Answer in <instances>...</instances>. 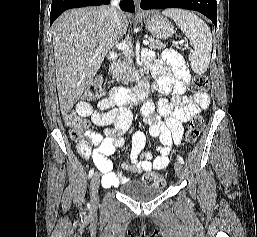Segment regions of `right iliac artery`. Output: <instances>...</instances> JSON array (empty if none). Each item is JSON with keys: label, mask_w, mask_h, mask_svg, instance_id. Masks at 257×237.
Masks as SVG:
<instances>
[{"label": "right iliac artery", "mask_w": 257, "mask_h": 237, "mask_svg": "<svg viewBox=\"0 0 257 237\" xmlns=\"http://www.w3.org/2000/svg\"><path fill=\"white\" fill-rule=\"evenodd\" d=\"M93 174H94V169H91V170L89 171V174H88L89 178H91V177L93 176Z\"/></svg>", "instance_id": "obj_1"}]
</instances>
